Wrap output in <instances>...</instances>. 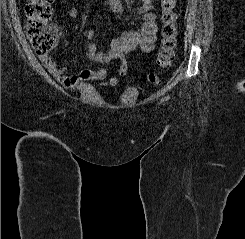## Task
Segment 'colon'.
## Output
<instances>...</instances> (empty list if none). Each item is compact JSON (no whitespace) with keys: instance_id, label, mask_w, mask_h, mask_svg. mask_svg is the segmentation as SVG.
<instances>
[{"instance_id":"5ec220e1","label":"colon","mask_w":245,"mask_h":239,"mask_svg":"<svg viewBox=\"0 0 245 239\" xmlns=\"http://www.w3.org/2000/svg\"><path fill=\"white\" fill-rule=\"evenodd\" d=\"M53 2L54 0H30L25 7L26 34L39 57L49 56L58 44V35L49 24L53 15ZM176 4L177 0H161V41L156 59L158 70L147 76L149 83L154 86L160 83L159 71L170 67L174 59L177 38Z\"/></svg>"}]
</instances>
